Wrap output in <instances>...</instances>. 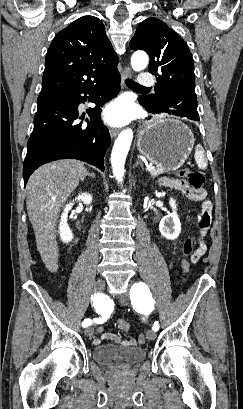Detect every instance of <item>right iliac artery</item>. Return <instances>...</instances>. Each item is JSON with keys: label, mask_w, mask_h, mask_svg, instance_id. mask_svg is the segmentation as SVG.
Segmentation results:
<instances>
[{"label": "right iliac artery", "mask_w": 243, "mask_h": 409, "mask_svg": "<svg viewBox=\"0 0 243 409\" xmlns=\"http://www.w3.org/2000/svg\"><path fill=\"white\" fill-rule=\"evenodd\" d=\"M91 299L93 300V303H94V307H95V309L97 310V312H99V313H103V308H102V300H101V297H100V295L99 294H95V295H92L91 296ZM94 322H96V323H103L104 322V319H95L94 320ZM92 324V320L91 319H85L83 322H82V327H88V326H90Z\"/></svg>", "instance_id": "82829eb1"}]
</instances>
